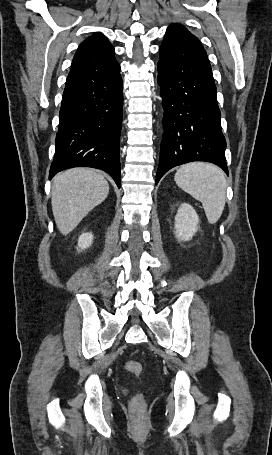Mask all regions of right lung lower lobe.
Instances as JSON below:
<instances>
[{
    "mask_svg": "<svg viewBox=\"0 0 272 455\" xmlns=\"http://www.w3.org/2000/svg\"><path fill=\"white\" fill-rule=\"evenodd\" d=\"M122 84L118 71L64 90L50 179L64 169L87 166L106 171L120 188Z\"/></svg>",
    "mask_w": 272,
    "mask_h": 455,
    "instance_id": "obj_1",
    "label": "right lung lower lobe"
}]
</instances>
